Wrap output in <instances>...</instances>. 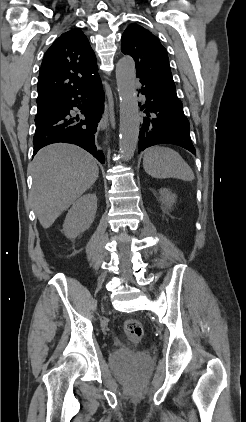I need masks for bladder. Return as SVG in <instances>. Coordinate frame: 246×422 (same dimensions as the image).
<instances>
[{"label":"bladder","instance_id":"1","mask_svg":"<svg viewBox=\"0 0 246 422\" xmlns=\"http://www.w3.org/2000/svg\"><path fill=\"white\" fill-rule=\"evenodd\" d=\"M110 362L116 368L144 369L150 365L151 357L146 352L117 348L111 354Z\"/></svg>","mask_w":246,"mask_h":422}]
</instances>
